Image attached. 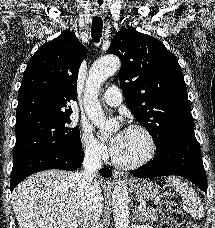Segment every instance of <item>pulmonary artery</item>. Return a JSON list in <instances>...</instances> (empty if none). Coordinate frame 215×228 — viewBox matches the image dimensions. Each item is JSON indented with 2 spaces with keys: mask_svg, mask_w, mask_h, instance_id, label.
I'll return each mask as SVG.
<instances>
[{
  "mask_svg": "<svg viewBox=\"0 0 215 228\" xmlns=\"http://www.w3.org/2000/svg\"><path fill=\"white\" fill-rule=\"evenodd\" d=\"M122 100L121 92L116 87L107 89L102 97L103 103L112 107L119 106L122 103Z\"/></svg>",
  "mask_w": 215,
  "mask_h": 228,
  "instance_id": "e3ab8cb5",
  "label": "pulmonary artery"
}]
</instances>
